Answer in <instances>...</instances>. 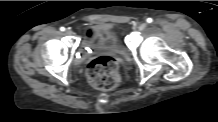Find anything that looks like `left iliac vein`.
<instances>
[{
	"instance_id": "1",
	"label": "left iliac vein",
	"mask_w": 218,
	"mask_h": 122,
	"mask_svg": "<svg viewBox=\"0 0 218 122\" xmlns=\"http://www.w3.org/2000/svg\"><path fill=\"white\" fill-rule=\"evenodd\" d=\"M147 27V23H142L139 25V30L143 31Z\"/></svg>"
}]
</instances>
